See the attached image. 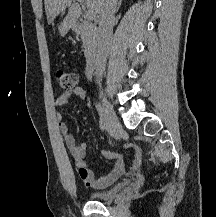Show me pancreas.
<instances>
[{
	"instance_id": "pancreas-1",
	"label": "pancreas",
	"mask_w": 216,
	"mask_h": 217,
	"mask_svg": "<svg viewBox=\"0 0 216 217\" xmlns=\"http://www.w3.org/2000/svg\"><path fill=\"white\" fill-rule=\"evenodd\" d=\"M96 27L94 24L89 22H84L80 28V36L83 42V47L85 51L93 48L96 44Z\"/></svg>"
}]
</instances>
